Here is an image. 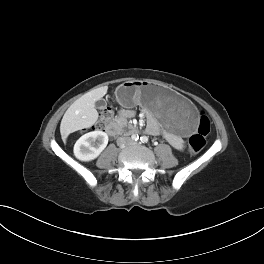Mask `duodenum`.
<instances>
[{"mask_svg":"<svg viewBox=\"0 0 264 264\" xmlns=\"http://www.w3.org/2000/svg\"><path fill=\"white\" fill-rule=\"evenodd\" d=\"M135 131H136V129L134 127L124 125L121 122H110L106 126V132L110 136L130 134V133L135 132Z\"/></svg>","mask_w":264,"mask_h":264,"instance_id":"obj_1","label":"duodenum"}]
</instances>
